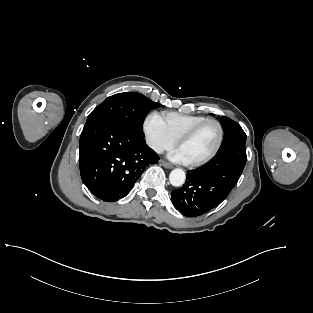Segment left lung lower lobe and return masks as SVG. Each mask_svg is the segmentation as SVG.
<instances>
[{"label":"left lung lower lobe","instance_id":"1","mask_svg":"<svg viewBox=\"0 0 313 313\" xmlns=\"http://www.w3.org/2000/svg\"><path fill=\"white\" fill-rule=\"evenodd\" d=\"M246 160L245 144L219 150L208 164L187 172L185 184L172 191L174 207L187 217L215 208L237 184Z\"/></svg>","mask_w":313,"mask_h":313}]
</instances>
